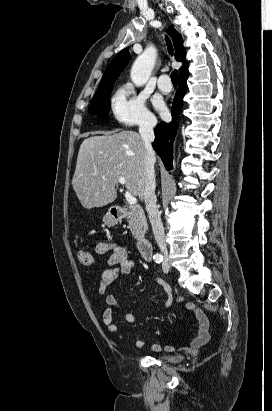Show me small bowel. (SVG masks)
<instances>
[{
  "label": "small bowel",
  "mask_w": 272,
  "mask_h": 411,
  "mask_svg": "<svg viewBox=\"0 0 272 411\" xmlns=\"http://www.w3.org/2000/svg\"><path fill=\"white\" fill-rule=\"evenodd\" d=\"M95 250L98 254L101 255L110 253L108 259V268L105 269L102 273L98 292L99 294L105 296V302L107 304V307L102 314L103 322L111 334H118L119 328L114 323L113 310L117 309L124 311V309L114 295L107 293L108 287L118 278L129 276L135 268L136 263L134 260L129 258V251L127 247L117 242H98L96 244ZM156 282L163 286L164 291L167 294V299L164 302V307L169 308L173 302L171 290L168 285H166L161 279L157 278ZM179 300L181 299L179 298ZM186 309L193 311L199 322L198 336L190 343V346L188 348L189 351H194L199 347L205 345L209 341V322L205 314L193 303H188L186 305ZM123 319L130 324L137 323L136 317L130 312L124 311ZM135 344L138 348L149 346L153 351L158 352L161 350V346L159 344H149L142 339H136ZM164 349L167 352L174 351V348L171 346H165Z\"/></svg>",
  "instance_id": "c3829d8e"
}]
</instances>
